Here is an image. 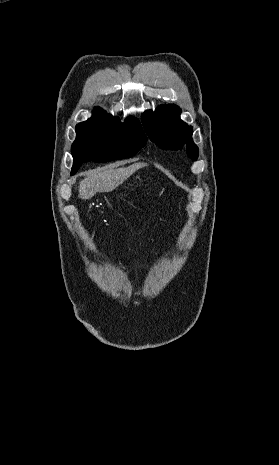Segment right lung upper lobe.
<instances>
[{"mask_svg": "<svg viewBox=\"0 0 279 465\" xmlns=\"http://www.w3.org/2000/svg\"><path fill=\"white\" fill-rule=\"evenodd\" d=\"M97 125L133 126V127H137L139 129H141L142 132H143V129H142L139 121L136 118L129 117L122 124L118 118L113 117L110 114H107L100 107H98L96 110L93 111V115H92V117L90 119L76 125V130L87 129V128H90L92 126H97Z\"/></svg>", "mask_w": 279, "mask_h": 465, "instance_id": "1", "label": "right lung upper lobe"}]
</instances>
